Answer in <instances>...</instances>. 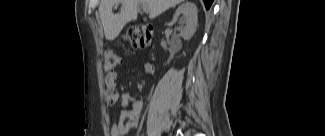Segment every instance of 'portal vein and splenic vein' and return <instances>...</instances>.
I'll use <instances>...</instances> for the list:
<instances>
[{"label":"portal vein and splenic vein","mask_w":325,"mask_h":136,"mask_svg":"<svg viewBox=\"0 0 325 136\" xmlns=\"http://www.w3.org/2000/svg\"><path fill=\"white\" fill-rule=\"evenodd\" d=\"M142 9H143V11L145 13H148L149 12V9H148L147 5H145V4H143Z\"/></svg>","instance_id":"18ae733b"}]
</instances>
